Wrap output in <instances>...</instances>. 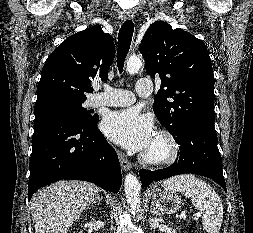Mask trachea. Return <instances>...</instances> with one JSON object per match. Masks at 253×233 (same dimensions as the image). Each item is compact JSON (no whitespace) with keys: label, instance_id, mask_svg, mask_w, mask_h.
I'll list each match as a JSON object with an SVG mask.
<instances>
[{"label":"trachea","instance_id":"trachea-1","mask_svg":"<svg viewBox=\"0 0 253 233\" xmlns=\"http://www.w3.org/2000/svg\"><path fill=\"white\" fill-rule=\"evenodd\" d=\"M133 32L134 23L132 20H127L122 25L118 34L117 67L120 72H123L124 62L130 48Z\"/></svg>","mask_w":253,"mask_h":233}]
</instances>
